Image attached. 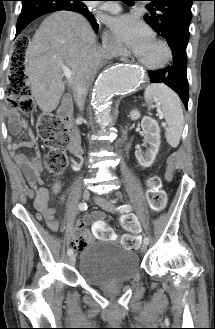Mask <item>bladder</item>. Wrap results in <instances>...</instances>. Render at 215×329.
<instances>
[{"label":"bladder","instance_id":"bladder-1","mask_svg":"<svg viewBox=\"0 0 215 329\" xmlns=\"http://www.w3.org/2000/svg\"><path fill=\"white\" fill-rule=\"evenodd\" d=\"M140 270L137 253L116 240H96L81 252L78 276L91 286H107L135 278Z\"/></svg>","mask_w":215,"mask_h":329}]
</instances>
